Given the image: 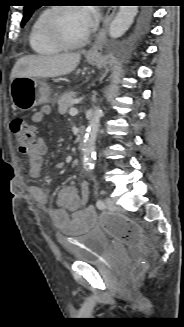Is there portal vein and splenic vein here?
Here are the masks:
<instances>
[{
	"mask_svg": "<svg viewBox=\"0 0 184 327\" xmlns=\"http://www.w3.org/2000/svg\"><path fill=\"white\" fill-rule=\"evenodd\" d=\"M69 114H70L71 116L77 115V114H78V110L75 109V108H71V109L69 110Z\"/></svg>",
	"mask_w": 184,
	"mask_h": 327,
	"instance_id": "1",
	"label": "portal vein and splenic vein"
}]
</instances>
